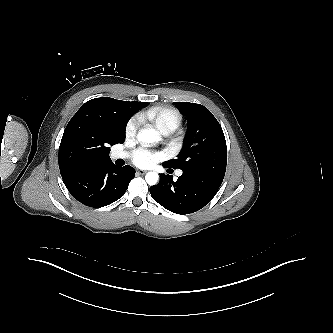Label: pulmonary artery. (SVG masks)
Masks as SVG:
<instances>
[{
  "instance_id": "1",
  "label": "pulmonary artery",
  "mask_w": 333,
  "mask_h": 333,
  "mask_svg": "<svg viewBox=\"0 0 333 333\" xmlns=\"http://www.w3.org/2000/svg\"><path fill=\"white\" fill-rule=\"evenodd\" d=\"M127 156H128V154L126 152H124V151H114L110 155L111 159H113V160L124 159ZM177 175L181 176L182 175V171L181 170L177 171Z\"/></svg>"
}]
</instances>
